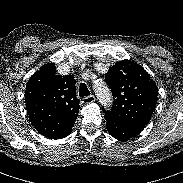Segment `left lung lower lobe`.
Here are the masks:
<instances>
[{"instance_id":"obj_1","label":"left lung lower lobe","mask_w":183,"mask_h":183,"mask_svg":"<svg viewBox=\"0 0 183 183\" xmlns=\"http://www.w3.org/2000/svg\"><path fill=\"white\" fill-rule=\"evenodd\" d=\"M106 119L107 131L118 140H127L137 136L143 129L144 126L126 123L120 120L113 119L108 116H104Z\"/></svg>"}]
</instances>
